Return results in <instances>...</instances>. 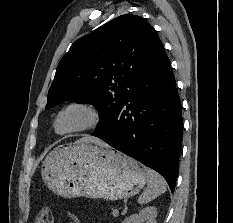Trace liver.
<instances>
[{"instance_id": "6515ba94", "label": "liver", "mask_w": 233, "mask_h": 223, "mask_svg": "<svg viewBox=\"0 0 233 223\" xmlns=\"http://www.w3.org/2000/svg\"><path fill=\"white\" fill-rule=\"evenodd\" d=\"M77 141H93V143H99V145H106L104 141H101L99 137H92V135H87V137H80Z\"/></svg>"}]
</instances>
